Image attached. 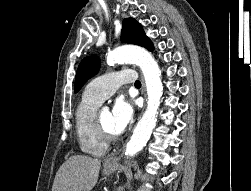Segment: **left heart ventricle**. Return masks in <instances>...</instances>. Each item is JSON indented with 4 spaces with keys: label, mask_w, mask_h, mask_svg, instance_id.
I'll use <instances>...</instances> for the list:
<instances>
[{
    "label": "left heart ventricle",
    "mask_w": 251,
    "mask_h": 191,
    "mask_svg": "<svg viewBox=\"0 0 251 191\" xmlns=\"http://www.w3.org/2000/svg\"><path fill=\"white\" fill-rule=\"evenodd\" d=\"M99 120L101 121V123L103 124V126L112 133L111 128H110V114L108 113V111L106 112H102L99 114Z\"/></svg>",
    "instance_id": "left-heart-ventricle-1"
}]
</instances>
